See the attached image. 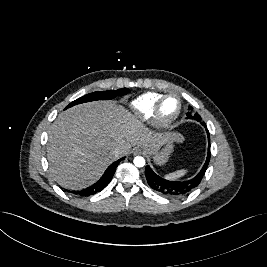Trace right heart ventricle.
Returning a JSON list of instances; mask_svg holds the SVG:
<instances>
[{"label":"right heart ventricle","instance_id":"e07e8e85","mask_svg":"<svg viewBox=\"0 0 267 267\" xmlns=\"http://www.w3.org/2000/svg\"><path fill=\"white\" fill-rule=\"evenodd\" d=\"M163 96L157 92H147L131 102V108L142 119L147 120L151 117L155 103Z\"/></svg>","mask_w":267,"mask_h":267}]
</instances>
